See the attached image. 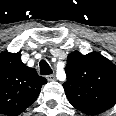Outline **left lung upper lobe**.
Returning <instances> with one entry per match:
<instances>
[{"mask_svg": "<svg viewBox=\"0 0 116 116\" xmlns=\"http://www.w3.org/2000/svg\"><path fill=\"white\" fill-rule=\"evenodd\" d=\"M67 65L63 86L76 109L96 114L116 103V66L110 60L97 52L82 55L74 51L68 55ZM75 81V88L70 87Z\"/></svg>", "mask_w": 116, "mask_h": 116, "instance_id": "5c2ea615", "label": "left lung upper lobe"}]
</instances>
